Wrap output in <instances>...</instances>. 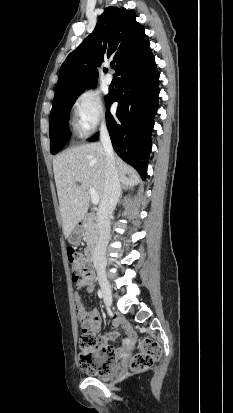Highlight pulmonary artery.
I'll return each mask as SVG.
<instances>
[{
	"label": "pulmonary artery",
	"instance_id": "1",
	"mask_svg": "<svg viewBox=\"0 0 233 413\" xmlns=\"http://www.w3.org/2000/svg\"><path fill=\"white\" fill-rule=\"evenodd\" d=\"M104 81L106 84H111L113 82V77L111 74L107 73L104 77Z\"/></svg>",
	"mask_w": 233,
	"mask_h": 413
}]
</instances>
